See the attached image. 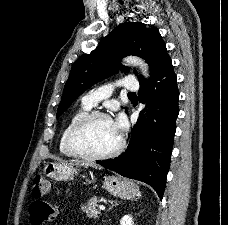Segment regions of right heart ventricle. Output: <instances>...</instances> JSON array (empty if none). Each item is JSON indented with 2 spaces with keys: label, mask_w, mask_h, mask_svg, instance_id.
Masks as SVG:
<instances>
[{
  "label": "right heart ventricle",
  "mask_w": 228,
  "mask_h": 225,
  "mask_svg": "<svg viewBox=\"0 0 228 225\" xmlns=\"http://www.w3.org/2000/svg\"><path fill=\"white\" fill-rule=\"evenodd\" d=\"M89 112H90V107L81 104L80 107L73 113V115L69 119L68 123L64 127V129L61 133V136H60V140H59V150L63 156L68 157V158H77L78 157L69 150L68 135H69V132H70L71 128L73 127V125L81 117H83L84 115H86Z\"/></svg>",
  "instance_id": "1"
}]
</instances>
